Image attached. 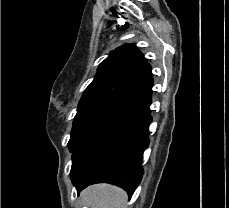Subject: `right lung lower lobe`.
Listing matches in <instances>:
<instances>
[{"label":"right lung lower lobe","mask_w":229,"mask_h":208,"mask_svg":"<svg viewBox=\"0 0 229 208\" xmlns=\"http://www.w3.org/2000/svg\"><path fill=\"white\" fill-rule=\"evenodd\" d=\"M149 106L116 133L92 148L70 173L78 193L95 183L123 188L131 198L143 176V153L149 145Z\"/></svg>","instance_id":"right-lung-lower-lobe-1"}]
</instances>
